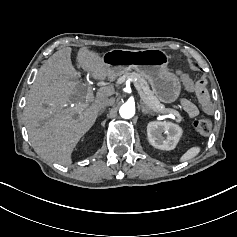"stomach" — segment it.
Returning a JSON list of instances; mask_svg holds the SVG:
<instances>
[{"label": "stomach", "instance_id": "1", "mask_svg": "<svg viewBox=\"0 0 237 237\" xmlns=\"http://www.w3.org/2000/svg\"><path fill=\"white\" fill-rule=\"evenodd\" d=\"M103 61L116 78L131 70L145 78L154 95L165 104L179 99L182 85L179 76L168 70L169 56L161 48L141 50L112 49L103 55Z\"/></svg>", "mask_w": 237, "mask_h": 237}]
</instances>
